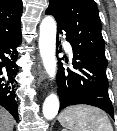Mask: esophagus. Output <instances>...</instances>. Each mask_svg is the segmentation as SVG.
I'll use <instances>...</instances> for the list:
<instances>
[{
	"label": "esophagus",
	"instance_id": "1",
	"mask_svg": "<svg viewBox=\"0 0 117 131\" xmlns=\"http://www.w3.org/2000/svg\"><path fill=\"white\" fill-rule=\"evenodd\" d=\"M40 78L44 79L45 78V75L43 73V71L40 70Z\"/></svg>",
	"mask_w": 117,
	"mask_h": 131
}]
</instances>
